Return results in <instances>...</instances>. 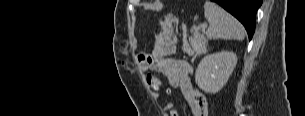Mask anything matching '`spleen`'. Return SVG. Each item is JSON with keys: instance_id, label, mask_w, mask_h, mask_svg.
<instances>
[{"instance_id": "1", "label": "spleen", "mask_w": 305, "mask_h": 116, "mask_svg": "<svg viewBox=\"0 0 305 116\" xmlns=\"http://www.w3.org/2000/svg\"><path fill=\"white\" fill-rule=\"evenodd\" d=\"M204 15L209 23L205 32L209 39H244L242 24L217 4L206 1Z\"/></svg>"}]
</instances>
